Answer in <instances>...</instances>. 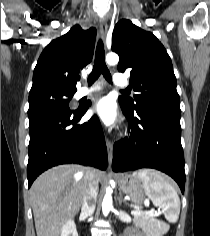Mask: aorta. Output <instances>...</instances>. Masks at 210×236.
Here are the masks:
<instances>
[{"label": "aorta", "instance_id": "aorta-1", "mask_svg": "<svg viewBox=\"0 0 210 236\" xmlns=\"http://www.w3.org/2000/svg\"><path fill=\"white\" fill-rule=\"evenodd\" d=\"M106 62L109 65H116L119 62V56L116 53H109L106 56ZM111 193H112L111 187H107L106 194H105V196L103 198V202H102V211H103L104 216H107L113 207Z\"/></svg>", "mask_w": 210, "mask_h": 236}]
</instances>
